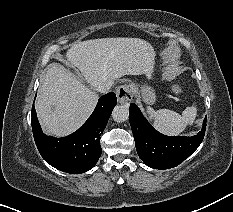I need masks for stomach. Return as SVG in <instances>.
<instances>
[{"mask_svg": "<svg viewBox=\"0 0 233 212\" xmlns=\"http://www.w3.org/2000/svg\"><path fill=\"white\" fill-rule=\"evenodd\" d=\"M153 71H151L148 76L152 74ZM141 96L143 98V101L147 104H153L156 100V95L154 90L147 85H144L140 89Z\"/></svg>", "mask_w": 233, "mask_h": 212, "instance_id": "0dacf381", "label": "stomach"}]
</instances>
